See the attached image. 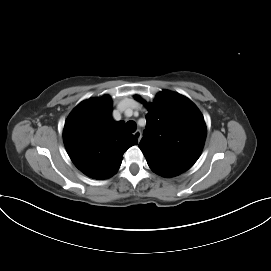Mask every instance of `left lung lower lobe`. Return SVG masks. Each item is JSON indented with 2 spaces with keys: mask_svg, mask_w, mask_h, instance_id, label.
I'll list each match as a JSON object with an SVG mask.
<instances>
[{
  "mask_svg": "<svg viewBox=\"0 0 271 271\" xmlns=\"http://www.w3.org/2000/svg\"><path fill=\"white\" fill-rule=\"evenodd\" d=\"M148 165L155 173H157L158 175H161L163 177H173V176H177L180 174L179 172H176L173 170H168V169L161 168V167L151 165V164H148Z\"/></svg>",
  "mask_w": 271,
  "mask_h": 271,
  "instance_id": "obj_1",
  "label": "left lung lower lobe"
}]
</instances>
